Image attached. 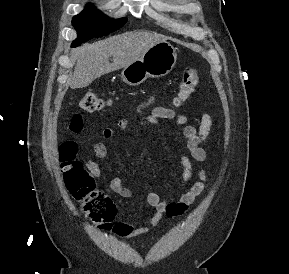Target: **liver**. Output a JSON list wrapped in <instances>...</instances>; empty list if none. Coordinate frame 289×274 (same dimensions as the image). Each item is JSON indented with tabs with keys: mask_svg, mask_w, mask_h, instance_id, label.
I'll list each match as a JSON object with an SVG mask.
<instances>
[{
	"mask_svg": "<svg viewBox=\"0 0 289 274\" xmlns=\"http://www.w3.org/2000/svg\"><path fill=\"white\" fill-rule=\"evenodd\" d=\"M163 40L156 33L128 32L85 44L74 52L76 65L70 85L72 88L87 87L102 75L128 66ZM109 57H113L112 63L109 62Z\"/></svg>",
	"mask_w": 289,
	"mask_h": 274,
	"instance_id": "6515ba94",
	"label": "liver"
}]
</instances>
